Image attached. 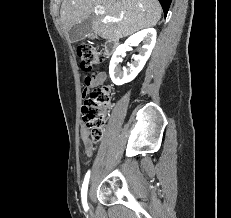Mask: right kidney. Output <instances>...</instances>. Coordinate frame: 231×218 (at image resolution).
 Returning a JSON list of instances; mask_svg holds the SVG:
<instances>
[{
	"label": "right kidney",
	"mask_w": 231,
	"mask_h": 218,
	"mask_svg": "<svg viewBox=\"0 0 231 218\" xmlns=\"http://www.w3.org/2000/svg\"><path fill=\"white\" fill-rule=\"evenodd\" d=\"M140 42H143L142 49L139 50L138 55L133 56L134 62L128 65L129 68H123V70H121L119 68V63L125 51H128L130 46L137 45ZM155 43L156 30L148 28L132 35L124 44L120 45L114 52L109 65V74L112 82L116 85H123L132 81L143 69L146 61L151 55Z\"/></svg>",
	"instance_id": "1"
}]
</instances>
